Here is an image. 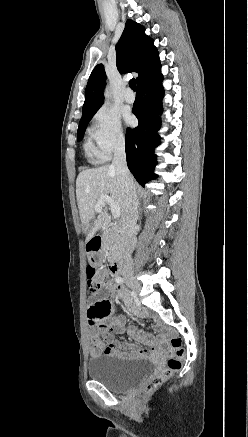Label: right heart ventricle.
Wrapping results in <instances>:
<instances>
[{
	"mask_svg": "<svg viewBox=\"0 0 248 437\" xmlns=\"http://www.w3.org/2000/svg\"><path fill=\"white\" fill-rule=\"evenodd\" d=\"M85 150H86L87 155L90 157V159H92L94 161L101 159L100 156L97 154L96 149L89 141H87L85 143Z\"/></svg>",
	"mask_w": 248,
	"mask_h": 437,
	"instance_id": "right-heart-ventricle-1",
	"label": "right heart ventricle"
}]
</instances>
